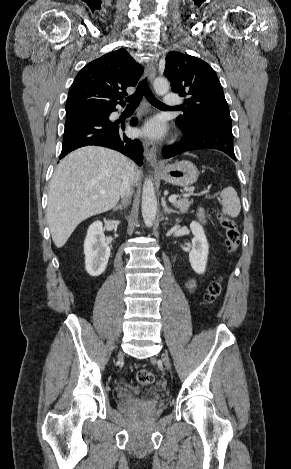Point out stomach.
Listing matches in <instances>:
<instances>
[{
  "instance_id": "1",
  "label": "stomach",
  "mask_w": 291,
  "mask_h": 469,
  "mask_svg": "<svg viewBox=\"0 0 291 469\" xmlns=\"http://www.w3.org/2000/svg\"><path fill=\"white\" fill-rule=\"evenodd\" d=\"M159 176L166 182L176 186H190L198 179V169L188 161L182 160L174 164H168L158 170Z\"/></svg>"
}]
</instances>
